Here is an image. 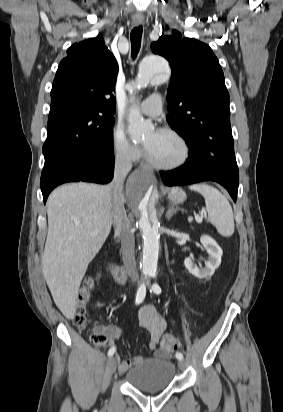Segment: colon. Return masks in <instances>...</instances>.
I'll use <instances>...</instances> for the list:
<instances>
[{"label":"colon","mask_w":283,"mask_h":412,"mask_svg":"<svg viewBox=\"0 0 283 412\" xmlns=\"http://www.w3.org/2000/svg\"><path fill=\"white\" fill-rule=\"evenodd\" d=\"M92 282V278L89 277L86 282L87 286H90ZM89 299L90 295L86 288L83 289L77 297L76 305L72 315V321L78 328H83L86 324L87 304L89 302ZM90 340L92 344L96 346H103L107 341V337L102 330H97L91 335ZM179 349H181V343L176 337L167 335L162 339L161 352L165 356H168L170 353L175 352Z\"/></svg>","instance_id":"5ec220e1"}]
</instances>
